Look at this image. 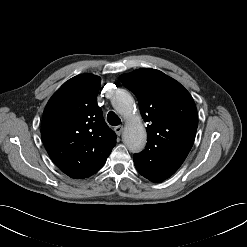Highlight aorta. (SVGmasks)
Here are the masks:
<instances>
[{"label": "aorta", "mask_w": 247, "mask_h": 247, "mask_svg": "<svg viewBox=\"0 0 247 247\" xmlns=\"http://www.w3.org/2000/svg\"><path fill=\"white\" fill-rule=\"evenodd\" d=\"M112 105L126 120L123 133L125 145L133 153L142 151L147 142V134L141 117L135 113L133 97L127 91L119 90L112 100Z\"/></svg>", "instance_id": "aorta-1"}]
</instances>
